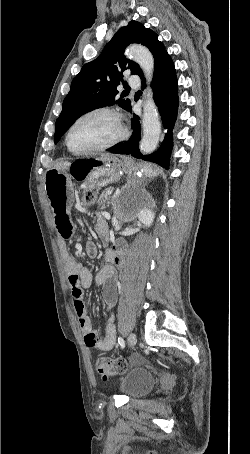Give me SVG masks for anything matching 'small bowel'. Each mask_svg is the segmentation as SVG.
<instances>
[{"mask_svg": "<svg viewBox=\"0 0 250 454\" xmlns=\"http://www.w3.org/2000/svg\"><path fill=\"white\" fill-rule=\"evenodd\" d=\"M45 189L53 209L56 228L62 238L68 239L72 236L74 230L69 210L77 193V183L69 174L52 171L46 177ZM96 232L103 242H107V228L103 218H99L96 224ZM85 251L89 257H95L97 247L93 242L87 241ZM123 251L124 246L122 243H117L113 248L108 249L106 251L107 264L95 277V283L101 288L107 310L113 308L117 300V269L122 266ZM62 255L68 274L71 294L74 299L75 313L79 327L83 332L85 343L100 351L111 350L116 339V326L113 321V315L110 316L106 324L104 338L99 339L86 311L84 290L92 284L93 277L91 272L87 267L75 261L65 248L62 249Z\"/></svg>", "mask_w": 250, "mask_h": 454, "instance_id": "1", "label": "small bowel"}]
</instances>
